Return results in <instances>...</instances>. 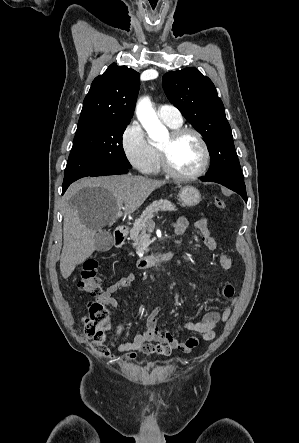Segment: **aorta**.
<instances>
[{
    "mask_svg": "<svg viewBox=\"0 0 299 443\" xmlns=\"http://www.w3.org/2000/svg\"><path fill=\"white\" fill-rule=\"evenodd\" d=\"M136 114L141 125L152 140L159 141L167 136L168 131L158 119L148 97H144L138 102Z\"/></svg>",
    "mask_w": 299,
    "mask_h": 443,
    "instance_id": "aorta-1",
    "label": "aorta"
}]
</instances>
